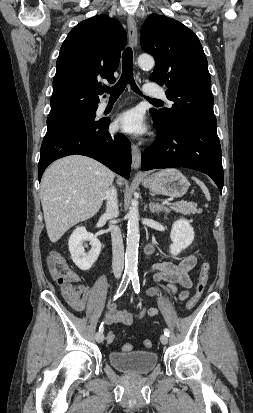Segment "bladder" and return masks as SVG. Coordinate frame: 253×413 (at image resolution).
<instances>
[{
    "instance_id": "bladder-1",
    "label": "bladder",
    "mask_w": 253,
    "mask_h": 413,
    "mask_svg": "<svg viewBox=\"0 0 253 413\" xmlns=\"http://www.w3.org/2000/svg\"><path fill=\"white\" fill-rule=\"evenodd\" d=\"M108 359L115 369L131 375L147 374L158 363V355L149 350L113 351L109 353Z\"/></svg>"
}]
</instances>
